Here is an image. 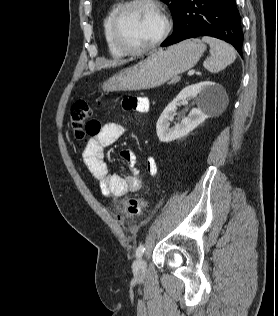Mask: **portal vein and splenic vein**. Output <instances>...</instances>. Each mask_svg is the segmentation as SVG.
<instances>
[{"label":"portal vein and splenic vein","mask_w":278,"mask_h":316,"mask_svg":"<svg viewBox=\"0 0 278 316\" xmlns=\"http://www.w3.org/2000/svg\"><path fill=\"white\" fill-rule=\"evenodd\" d=\"M194 73H195V70L191 69L188 71V76H192L194 75Z\"/></svg>","instance_id":"portal-vein-and-splenic-vein-1"}]
</instances>
